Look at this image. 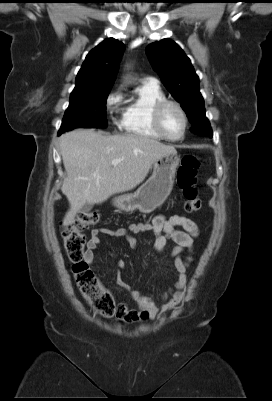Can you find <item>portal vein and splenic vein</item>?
Here are the masks:
<instances>
[{
  "label": "portal vein and splenic vein",
  "instance_id": "1",
  "mask_svg": "<svg viewBox=\"0 0 272 401\" xmlns=\"http://www.w3.org/2000/svg\"><path fill=\"white\" fill-rule=\"evenodd\" d=\"M120 162H121L120 159H115V160L112 161V165L113 166H117Z\"/></svg>",
  "mask_w": 272,
  "mask_h": 401
}]
</instances>
